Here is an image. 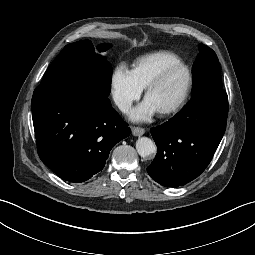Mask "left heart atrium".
Segmentation results:
<instances>
[{
    "mask_svg": "<svg viewBox=\"0 0 255 255\" xmlns=\"http://www.w3.org/2000/svg\"><path fill=\"white\" fill-rule=\"evenodd\" d=\"M156 111L157 110L147 100H144L131 111L130 116L133 120L145 121L150 119Z\"/></svg>",
    "mask_w": 255,
    "mask_h": 255,
    "instance_id": "obj_1",
    "label": "left heart atrium"
}]
</instances>
